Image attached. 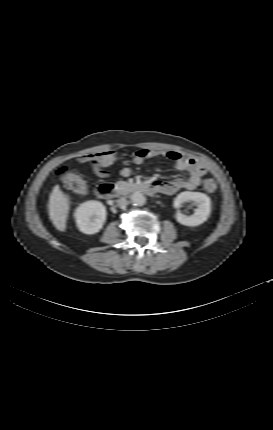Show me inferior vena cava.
I'll return each mask as SVG.
<instances>
[{
	"label": "inferior vena cava",
	"instance_id": "1",
	"mask_svg": "<svg viewBox=\"0 0 273 430\" xmlns=\"http://www.w3.org/2000/svg\"><path fill=\"white\" fill-rule=\"evenodd\" d=\"M117 202H118V206H119L121 209H125V208H126V206H127V204H128V202H127V200H126V198H125V197H121V198H119Z\"/></svg>",
	"mask_w": 273,
	"mask_h": 430
}]
</instances>
